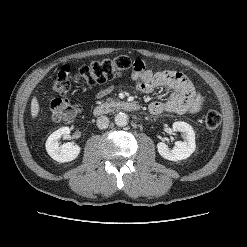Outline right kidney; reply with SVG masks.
I'll return each instance as SVG.
<instances>
[{
  "label": "right kidney",
  "instance_id": "right-kidney-1",
  "mask_svg": "<svg viewBox=\"0 0 247 247\" xmlns=\"http://www.w3.org/2000/svg\"><path fill=\"white\" fill-rule=\"evenodd\" d=\"M71 129L69 127H62L53 132L46 141V151L49 156L61 163L70 162L76 159L80 153L81 148L72 143L68 142L63 145L58 143L59 138L62 135L69 134Z\"/></svg>",
  "mask_w": 247,
  "mask_h": 247
}]
</instances>
